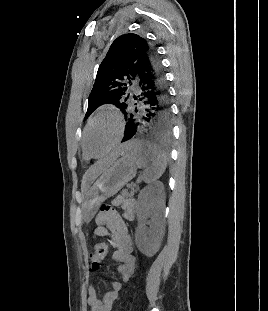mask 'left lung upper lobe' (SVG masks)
<instances>
[{
    "label": "left lung upper lobe",
    "instance_id": "obj_1",
    "mask_svg": "<svg viewBox=\"0 0 268 311\" xmlns=\"http://www.w3.org/2000/svg\"><path fill=\"white\" fill-rule=\"evenodd\" d=\"M150 51L148 41L137 34L121 35L112 43L99 66L85 118L109 103L118 107L127 120L132 113L129 91L137 81L140 63L149 58Z\"/></svg>",
    "mask_w": 268,
    "mask_h": 311
}]
</instances>
